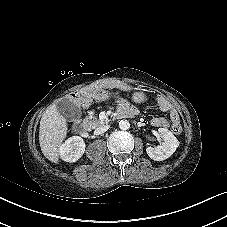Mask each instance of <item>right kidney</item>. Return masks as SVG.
Masks as SVG:
<instances>
[{
    "mask_svg": "<svg viewBox=\"0 0 227 227\" xmlns=\"http://www.w3.org/2000/svg\"><path fill=\"white\" fill-rule=\"evenodd\" d=\"M85 147V142L81 137L72 136L60 145V158L66 162H76L84 154Z\"/></svg>",
    "mask_w": 227,
    "mask_h": 227,
    "instance_id": "ca27d5eb",
    "label": "right kidney"
}]
</instances>
